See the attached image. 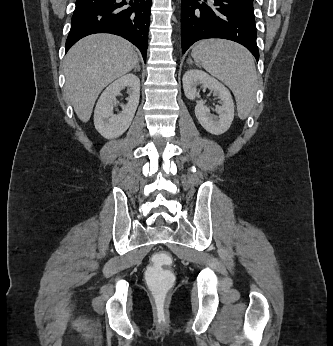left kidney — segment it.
Returning a JSON list of instances; mask_svg holds the SVG:
<instances>
[{"instance_id": "obj_1", "label": "left kidney", "mask_w": 333, "mask_h": 346, "mask_svg": "<svg viewBox=\"0 0 333 346\" xmlns=\"http://www.w3.org/2000/svg\"><path fill=\"white\" fill-rule=\"evenodd\" d=\"M182 80L184 93L190 100H194L198 94V85L208 88L218 95L221 103V106L216 107L218 116L211 115L210 109L200 102L195 106V115L202 127L209 133L214 135L225 133L234 119V103L230 91L218 80L198 69L188 70Z\"/></svg>"}]
</instances>
